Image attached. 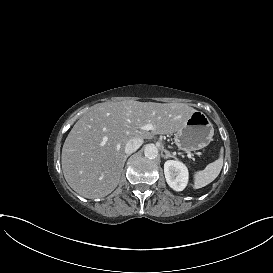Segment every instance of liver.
Wrapping results in <instances>:
<instances>
[{
    "mask_svg": "<svg viewBox=\"0 0 273 273\" xmlns=\"http://www.w3.org/2000/svg\"><path fill=\"white\" fill-rule=\"evenodd\" d=\"M195 112L182 103L126 100L94 105L68 134L62 169L69 186L86 198L111 193L119 183L124 150L132 137L150 138L179 130ZM153 124L151 132L138 128Z\"/></svg>",
    "mask_w": 273,
    "mask_h": 273,
    "instance_id": "liver-1",
    "label": "liver"
}]
</instances>
